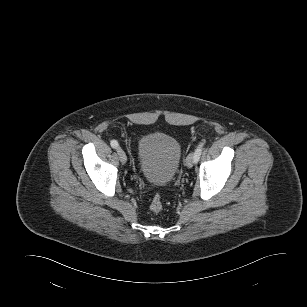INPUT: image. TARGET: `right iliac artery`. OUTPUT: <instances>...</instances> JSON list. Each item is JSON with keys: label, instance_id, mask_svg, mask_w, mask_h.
<instances>
[{"label": "right iliac artery", "instance_id": "1", "mask_svg": "<svg viewBox=\"0 0 307 307\" xmlns=\"http://www.w3.org/2000/svg\"><path fill=\"white\" fill-rule=\"evenodd\" d=\"M111 147L114 148V149H117L119 144L116 140H112L111 143H110Z\"/></svg>", "mask_w": 307, "mask_h": 307}]
</instances>
